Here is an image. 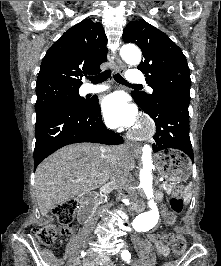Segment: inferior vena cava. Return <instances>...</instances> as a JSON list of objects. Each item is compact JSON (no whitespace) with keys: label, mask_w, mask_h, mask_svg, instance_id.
Here are the masks:
<instances>
[{"label":"inferior vena cava","mask_w":221,"mask_h":266,"mask_svg":"<svg viewBox=\"0 0 221 266\" xmlns=\"http://www.w3.org/2000/svg\"><path fill=\"white\" fill-rule=\"evenodd\" d=\"M101 151H102V157L111 167L110 179H111L112 186L116 188L117 190H121L125 188L126 181H127V175H125L122 171L116 168L117 156L108 147L102 148Z\"/></svg>","instance_id":"602c4592"}]
</instances>
